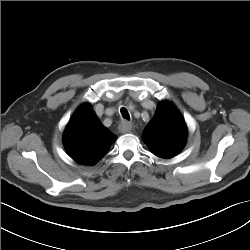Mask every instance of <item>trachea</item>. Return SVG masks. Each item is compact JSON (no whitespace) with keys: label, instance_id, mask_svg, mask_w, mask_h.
I'll return each instance as SVG.
<instances>
[{"label":"trachea","instance_id":"obj_1","mask_svg":"<svg viewBox=\"0 0 250 250\" xmlns=\"http://www.w3.org/2000/svg\"><path fill=\"white\" fill-rule=\"evenodd\" d=\"M120 111H121V114H122L123 118H125L127 120L130 119V115H129L128 111L125 108H121Z\"/></svg>","mask_w":250,"mask_h":250}]
</instances>
